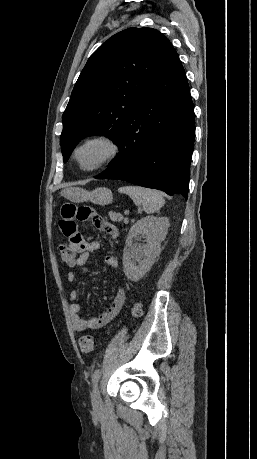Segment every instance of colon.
Masks as SVG:
<instances>
[{
  "label": "colon",
  "mask_w": 257,
  "mask_h": 459,
  "mask_svg": "<svg viewBox=\"0 0 257 459\" xmlns=\"http://www.w3.org/2000/svg\"><path fill=\"white\" fill-rule=\"evenodd\" d=\"M69 243L61 244L59 247L61 260L66 264H73L76 260L75 251L69 250ZM134 316L141 314V307L139 304H135L132 310ZM79 347L81 352L85 354L92 353L95 349V338L91 335L82 336L79 339Z\"/></svg>",
  "instance_id": "colon-1"
}]
</instances>
